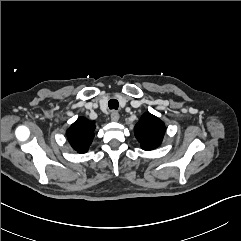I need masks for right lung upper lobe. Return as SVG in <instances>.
<instances>
[{
	"label": "right lung upper lobe",
	"mask_w": 241,
	"mask_h": 241,
	"mask_svg": "<svg viewBox=\"0 0 241 241\" xmlns=\"http://www.w3.org/2000/svg\"><path fill=\"white\" fill-rule=\"evenodd\" d=\"M94 130V121L79 117L67 130V139L74 150L85 153L94 138Z\"/></svg>",
	"instance_id": "obj_1"
}]
</instances>
